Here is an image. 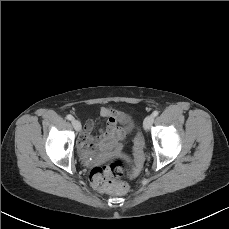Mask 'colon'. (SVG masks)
Wrapping results in <instances>:
<instances>
[{
	"instance_id": "colon-1",
	"label": "colon",
	"mask_w": 229,
	"mask_h": 229,
	"mask_svg": "<svg viewBox=\"0 0 229 229\" xmlns=\"http://www.w3.org/2000/svg\"><path fill=\"white\" fill-rule=\"evenodd\" d=\"M142 150L143 141L141 138H137L135 152L139 160L142 158ZM123 172V162L115 158L108 164L93 168L90 172V182L97 190L125 195L128 192V187L125 182L120 180Z\"/></svg>"
}]
</instances>
